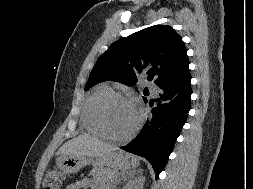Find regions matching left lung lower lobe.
<instances>
[{
  "instance_id": "left-lung-lower-lobe-1",
  "label": "left lung lower lobe",
  "mask_w": 253,
  "mask_h": 189,
  "mask_svg": "<svg viewBox=\"0 0 253 189\" xmlns=\"http://www.w3.org/2000/svg\"><path fill=\"white\" fill-rule=\"evenodd\" d=\"M186 58L177 72L160 88L157 107L140 133L121 149L145 157L153 166L156 179L163 170L190 110L191 76ZM153 102L150 101V106Z\"/></svg>"
}]
</instances>
